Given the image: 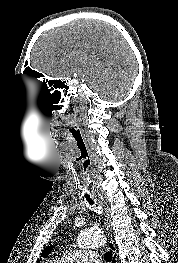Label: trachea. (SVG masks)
Returning a JSON list of instances; mask_svg holds the SVG:
<instances>
[{
    "mask_svg": "<svg viewBox=\"0 0 178 263\" xmlns=\"http://www.w3.org/2000/svg\"><path fill=\"white\" fill-rule=\"evenodd\" d=\"M84 171H86L85 168H84ZM84 196H85L87 202L90 205H94V201L92 200V198L90 197V195L88 194L87 191L84 193ZM104 260L107 261V262H111V260H112V252H106L104 254Z\"/></svg>",
    "mask_w": 178,
    "mask_h": 263,
    "instance_id": "obj_1",
    "label": "trachea"
}]
</instances>
